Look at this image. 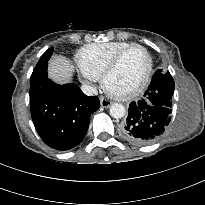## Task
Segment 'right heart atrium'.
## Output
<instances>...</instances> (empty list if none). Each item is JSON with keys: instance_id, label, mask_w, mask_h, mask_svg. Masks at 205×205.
I'll return each instance as SVG.
<instances>
[{"instance_id": "1", "label": "right heart atrium", "mask_w": 205, "mask_h": 205, "mask_svg": "<svg viewBox=\"0 0 205 205\" xmlns=\"http://www.w3.org/2000/svg\"><path fill=\"white\" fill-rule=\"evenodd\" d=\"M80 76L82 80L87 83V84H93L97 78L93 77L92 75L84 72L83 70L80 69Z\"/></svg>"}]
</instances>
